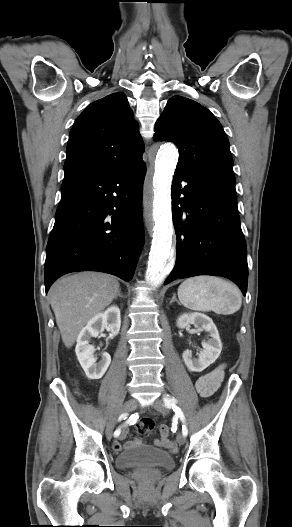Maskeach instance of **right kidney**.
Returning <instances> with one entry per match:
<instances>
[{
  "label": "right kidney",
  "instance_id": "ca27d5eb",
  "mask_svg": "<svg viewBox=\"0 0 292 527\" xmlns=\"http://www.w3.org/2000/svg\"><path fill=\"white\" fill-rule=\"evenodd\" d=\"M120 326V309L117 306H111L103 313H99L90 319L80 331L75 352L89 379H100L111 363V357L108 353H103L101 360L97 362L94 357L95 348L89 344L90 338L97 337L104 328L110 331V337L116 336L119 333Z\"/></svg>",
  "mask_w": 292,
  "mask_h": 527
}]
</instances>
